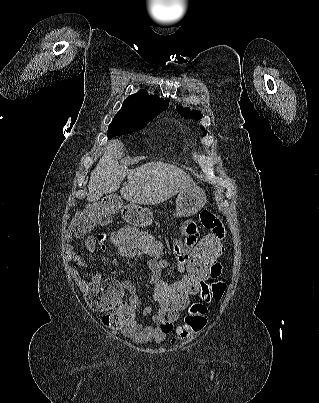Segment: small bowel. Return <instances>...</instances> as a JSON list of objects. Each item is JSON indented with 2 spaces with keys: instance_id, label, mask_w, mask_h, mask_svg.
<instances>
[{
  "instance_id": "small-bowel-1",
  "label": "small bowel",
  "mask_w": 319,
  "mask_h": 403,
  "mask_svg": "<svg viewBox=\"0 0 319 403\" xmlns=\"http://www.w3.org/2000/svg\"><path fill=\"white\" fill-rule=\"evenodd\" d=\"M182 232L173 244V251L176 258L177 269L182 273L185 263L191 260V253L188 251L194 246V241L198 242V227L190 220L183 221ZM109 231L103 230L102 235H88V249H103L105 239ZM208 238V237H206ZM68 258L78 266H87V261L72 250V245L67 246ZM163 268H149L151 271V284L155 278H161ZM68 271L76 281L81 290L86 294L89 309H101L102 323L105 329H109L110 335H124L137 342L145 343L149 341L161 342L172 332L174 323L178 320L180 313H156L151 307H144V316L152 315V324L143 326L135 319V310L141 307L140 299L137 295V287L130 279H102V273L96 272L90 280H86L73 266H69ZM160 273V276H157ZM211 281L222 283L223 268L219 264H214L210 268ZM177 282V281H175ZM207 285L202 282L193 292L191 299L181 311V318L185 314L190 303H195L201 296L203 287ZM128 294V295H127ZM131 309V310H130ZM177 334V331H176Z\"/></svg>"
}]
</instances>
